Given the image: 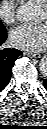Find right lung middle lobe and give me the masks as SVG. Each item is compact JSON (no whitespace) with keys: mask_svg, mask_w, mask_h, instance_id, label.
<instances>
[{"mask_svg":"<svg viewBox=\"0 0 47 129\" xmlns=\"http://www.w3.org/2000/svg\"><path fill=\"white\" fill-rule=\"evenodd\" d=\"M5 30L6 29H5L4 25L0 21V33L3 32V31H5Z\"/></svg>","mask_w":47,"mask_h":129,"instance_id":"1","label":"right lung middle lobe"}]
</instances>
